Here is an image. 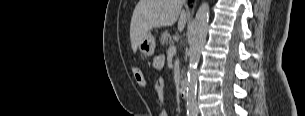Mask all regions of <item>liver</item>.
Segmentation results:
<instances>
[{
  "mask_svg": "<svg viewBox=\"0 0 305 116\" xmlns=\"http://www.w3.org/2000/svg\"><path fill=\"white\" fill-rule=\"evenodd\" d=\"M183 0H140L136 5L130 24V40L133 52L144 35L153 28L169 27L178 20V29L186 25L187 15L182 9Z\"/></svg>",
  "mask_w": 305,
  "mask_h": 116,
  "instance_id": "obj_1",
  "label": "liver"
}]
</instances>
